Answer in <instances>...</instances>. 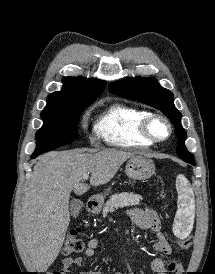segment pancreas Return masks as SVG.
<instances>
[{"mask_svg":"<svg viewBox=\"0 0 215 274\" xmlns=\"http://www.w3.org/2000/svg\"><path fill=\"white\" fill-rule=\"evenodd\" d=\"M142 196L134 193H118L110 197L103 207V217L108 213L117 210L120 207L136 206L139 205Z\"/></svg>","mask_w":215,"mask_h":274,"instance_id":"1","label":"pancreas"}]
</instances>
